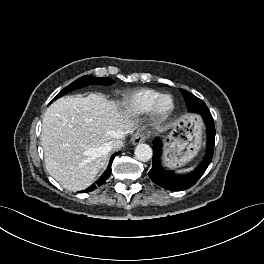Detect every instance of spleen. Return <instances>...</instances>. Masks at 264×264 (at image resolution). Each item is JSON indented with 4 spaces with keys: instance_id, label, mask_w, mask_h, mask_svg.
I'll use <instances>...</instances> for the list:
<instances>
[{
    "instance_id": "spleen-1",
    "label": "spleen",
    "mask_w": 264,
    "mask_h": 264,
    "mask_svg": "<svg viewBox=\"0 0 264 264\" xmlns=\"http://www.w3.org/2000/svg\"><path fill=\"white\" fill-rule=\"evenodd\" d=\"M193 168H190V169H184V170H181V171H178L177 173H187V172H190Z\"/></svg>"
}]
</instances>
